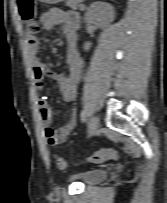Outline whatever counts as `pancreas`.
<instances>
[{
	"mask_svg": "<svg viewBox=\"0 0 167 203\" xmlns=\"http://www.w3.org/2000/svg\"><path fill=\"white\" fill-rule=\"evenodd\" d=\"M83 0H67L66 4L73 10H83L84 6L81 4Z\"/></svg>",
	"mask_w": 167,
	"mask_h": 203,
	"instance_id": "1",
	"label": "pancreas"
}]
</instances>
